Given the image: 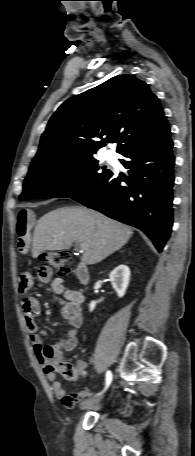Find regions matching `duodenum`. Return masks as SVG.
I'll return each instance as SVG.
<instances>
[{
    "mask_svg": "<svg viewBox=\"0 0 195 456\" xmlns=\"http://www.w3.org/2000/svg\"><path fill=\"white\" fill-rule=\"evenodd\" d=\"M76 277L78 281L83 284L87 285L90 281V272L88 266L84 262H80L76 267Z\"/></svg>",
    "mask_w": 195,
    "mask_h": 456,
    "instance_id": "duodenum-1",
    "label": "duodenum"
}]
</instances>
